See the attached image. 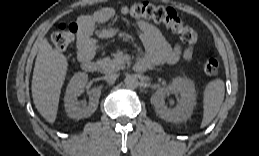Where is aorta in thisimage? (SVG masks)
Masks as SVG:
<instances>
[{"label":"aorta","instance_id":"aorta-1","mask_svg":"<svg viewBox=\"0 0 259 156\" xmlns=\"http://www.w3.org/2000/svg\"><path fill=\"white\" fill-rule=\"evenodd\" d=\"M124 82H125L126 87L130 88V89L137 88L138 84H139L138 78L134 75L126 76Z\"/></svg>","mask_w":259,"mask_h":156}]
</instances>
